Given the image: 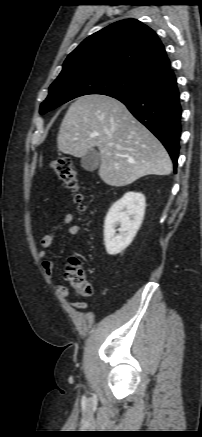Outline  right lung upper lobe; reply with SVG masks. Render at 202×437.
Listing matches in <instances>:
<instances>
[{"label": "right lung upper lobe", "mask_w": 202, "mask_h": 437, "mask_svg": "<svg viewBox=\"0 0 202 437\" xmlns=\"http://www.w3.org/2000/svg\"><path fill=\"white\" fill-rule=\"evenodd\" d=\"M170 68L157 34L136 19L115 22L86 38L60 73L77 69L112 71L148 81Z\"/></svg>", "instance_id": "obj_1"}]
</instances>
